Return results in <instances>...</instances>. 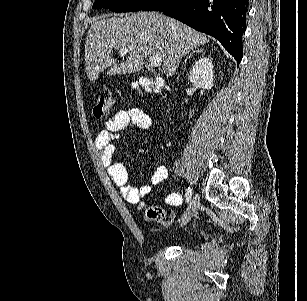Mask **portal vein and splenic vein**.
<instances>
[{"label": "portal vein and splenic vein", "instance_id": "obj_1", "mask_svg": "<svg viewBox=\"0 0 307 301\" xmlns=\"http://www.w3.org/2000/svg\"><path fill=\"white\" fill-rule=\"evenodd\" d=\"M118 50H120L121 54H123V52H129L131 48H125V46H121V48H118ZM148 56L150 64H153V66H161L162 58L160 54H148Z\"/></svg>", "mask_w": 307, "mask_h": 301}]
</instances>
